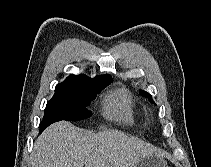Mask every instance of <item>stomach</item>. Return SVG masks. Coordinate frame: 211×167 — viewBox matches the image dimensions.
Listing matches in <instances>:
<instances>
[{"label":"stomach","mask_w":211,"mask_h":167,"mask_svg":"<svg viewBox=\"0 0 211 167\" xmlns=\"http://www.w3.org/2000/svg\"><path fill=\"white\" fill-rule=\"evenodd\" d=\"M133 167H168V164L161 154L154 152L142 158Z\"/></svg>","instance_id":"0dacf381"}]
</instances>
